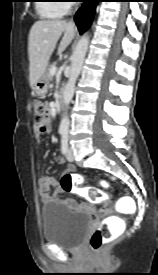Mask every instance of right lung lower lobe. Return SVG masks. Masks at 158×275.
Segmentation results:
<instances>
[{"label":"right lung lower lobe","instance_id":"right-lung-lower-lobe-1","mask_svg":"<svg viewBox=\"0 0 158 275\" xmlns=\"http://www.w3.org/2000/svg\"><path fill=\"white\" fill-rule=\"evenodd\" d=\"M84 4L75 14V22L80 34L85 32L91 25L99 0H83Z\"/></svg>","mask_w":158,"mask_h":275}]
</instances>
